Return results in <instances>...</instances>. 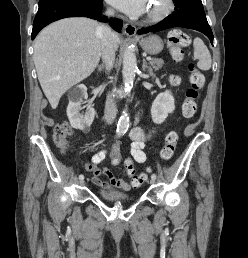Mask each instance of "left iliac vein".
I'll return each instance as SVG.
<instances>
[{"label":"left iliac vein","instance_id":"left-iliac-vein-1","mask_svg":"<svg viewBox=\"0 0 248 258\" xmlns=\"http://www.w3.org/2000/svg\"><path fill=\"white\" fill-rule=\"evenodd\" d=\"M149 183H150V184H154V183H155V180H154V179H151V180L149 181Z\"/></svg>","mask_w":248,"mask_h":258}]
</instances>
